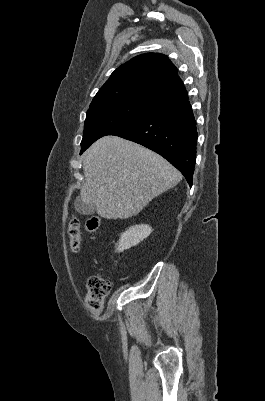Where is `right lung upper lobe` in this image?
<instances>
[{
    "instance_id": "obj_1",
    "label": "right lung upper lobe",
    "mask_w": 265,
    "mask_h": 401,
    "mask_svg": "<svg viewBox=\"0 0 265 401\" xmlns=\"http://www.w3.org/2000/svg\"><path fill=\"white\" fill-rule=\"evenodd\" d=\"M186 95L177 68L169 58L159 53H147L118 67L90 106L125 100H146L164 105Z\"/></svg>"
}]
</instances>
